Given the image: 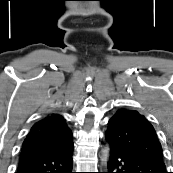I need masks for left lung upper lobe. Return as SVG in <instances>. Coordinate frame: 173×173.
Returning a JSON list of instances; mask_svg holds the SVG:
<instances>
[{"mask_svg": "<svg viewBox=\"0 0 173 173\" xmlns=\"http://www.w3.org/2000/svg\"><path fill=\"white\" fill-rule=\"evenodd\" d=\"M105 138L111 148L163 162L162 147L153 126L137 111L121 109L108 122Z\"/></svg>", "mask_w": 173, "mask_h": 173, "instance_id": "left-lung-upper-lobe-1", "label": "left lung upper lobe"}]
</instances>
